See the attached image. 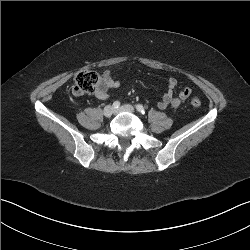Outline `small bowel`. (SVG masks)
Instances as JSON below:
<instances>
[{
	"label": "small bowel",
	"mask_w": 250,
	"mask_h": 250,
	"mask_svg": "<svg viewBox=\"0 0 250 250\" xmlns=\"http://www.w3.org/2000/svg\"><path fill=\"white\" fill-rule=\"evenodd\" d=\"M115 69H106L103 72L102 81L99 87L94 92V96L98 99L104 100L110 96L111 89L118 88L120 82L114 78ZM177 80L174 77L167 79L168 91L163 95L157 106L159 109H178L193 93L189 87L182 88L178 93H175L177 87Z\"/></svg>",
	"instance_id": "c3829d8e"
}]
</instances>
